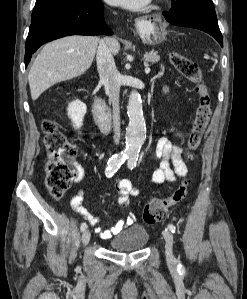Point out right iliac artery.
Wrapping results in <instances>:
<instances>
[{
  "label": "right iliac artery",
  "instance_id": "obj_1",
  "mask_svg": "<svg viewBox=\"0 0 247 299\" xmlns=\"http://www.w3.org/2000/svg\"><path fill=\"white\" fill-rule=\"evenodd\" d=\"M127 158H128V154L123 152H121L120 154L113 155L108 160V166L106 168V176L112 177ZM86 228H87V224L83 222L80 226V230L84 231Z\"/></svg>",
  "mask_w": 247,
  "mask_h": 299
}]
</instances>
